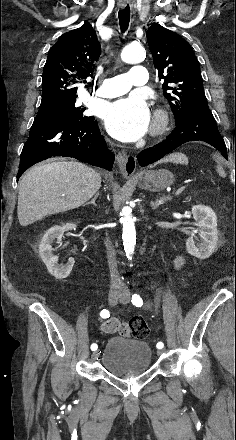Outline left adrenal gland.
Instances as JSON below:
<instances>
[{
	"label": "left adrenal gland",
	"instance_id": "a2214340",
	"mask_svg": "<svg viewBox=\"0 0 236 440\" xmlns=\"http://www.w3.org/2000/svg\"><path fill=\"white\" fill-rule=\"evenodd\" d=\"M169 200H171V197H165V196H162V197H160L159 199H157L155 202H153V201H151L150 202V206L152 207V209H156V208H158L160 205H162V204H164L166 201H169Z\"/></svg>",
	"mask_w": 236,
	"mask_h": 440
}]
</instances>
